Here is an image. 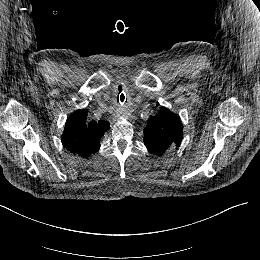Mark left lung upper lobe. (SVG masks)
Listing matches in <instances>:
<instances>
[{
    "label": "left lung upper lobe",
    "mask_w": 260,
    "mask_h": 260,
    "mask_svg": "<svg viewBox=\"0 0 260 260\" xmlns=\"http://www.w3.org/2000/svg\"><path fill=\"white\" fill-rule=\"evenodd\" d=\"M182 138L180 118L166 107H162L155 116L150 117L144 129V144L157 156L179 146Z\"/></svg>",
    "instance_id": "1"
}]
</instances>
